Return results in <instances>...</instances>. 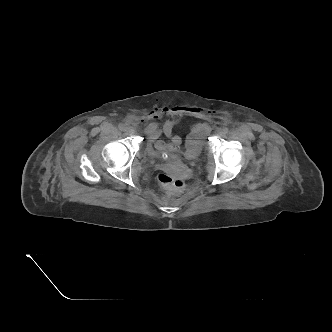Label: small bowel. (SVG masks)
Returning <instances> with one entry per match:
<instances>
[{
	"label": "small bowel",
	"instance_id": "c3829d8e",
	"mask_svg": "<svg viewBox=\"0 0 332 332\" xmlns=\"http://www.w3.org/2000/svg\"><path fill=\"white\" fill-rule=\"evenodd\" d=\"M190 110L184 106L160 107L154 109L149 115L150 122L145 128V133L149 143L154 144L159 151H178L182 146L180 136L173 134L174 127L179 124L180 116ZM164 116L171 118L165 120L163 124L157 122ZM208 134V125L205 122L194 124L186 137L185 147L200 146ZM164 135L167 140L161 138Z\"/></svg>",
	"mask_w": 332,
	"mask_h": 332
}]
</instances>
